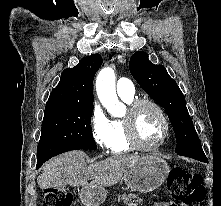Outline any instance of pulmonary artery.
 I'll return each mask as SVG.
<instances>
[{"instance_id": "e3ab8cb5", "label": "pulmonary artery", "mask_w": 221, "mask_h": 206, "mask_svg": "<svg viewBox=\"0 0 221 206\" xmlns=\"http://www.w3.org/2000/svg\"><path fill=\"white\" fill-rule=\"evenodd\" d=\"M117 93L119 96L133 97L135 88L131 80L120 78L117 82Z\"/></svg>"}]
</instances>
